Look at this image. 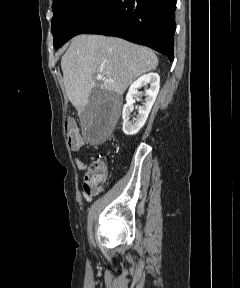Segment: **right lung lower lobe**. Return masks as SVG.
I'll return each mask as SVG.
<instances>
[{"label":"right lung lower lobe","instance_id":"1","mask_svg":"<svg viewBox=\"0 0 240 288\" xmlns=\"http://www.w3.org/2000/svg\"><path fill=\"white\" fill-rule=\"evenodd\" d=\"M176 0H112L80 34H101L148 46L174 59Z\"/></svg>","mask_w":240,"mask_h":288}]
</instances>
